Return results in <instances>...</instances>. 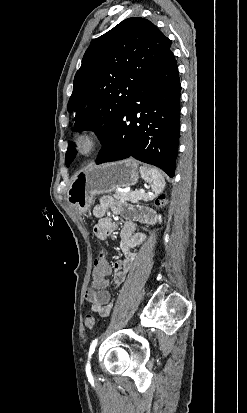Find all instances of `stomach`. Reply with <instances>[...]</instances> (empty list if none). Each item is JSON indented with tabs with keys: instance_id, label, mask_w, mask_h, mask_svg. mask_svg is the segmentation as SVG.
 Returning a JSON list of instances; mask_svg holds the SVG:
<instances>
[{
	"instance_id": "1",
	"label": "stomach",
	"mask_w": 247,
	"mask_h": 413,
	"mask_svg": "<svg viewBox=\"0 0 247 413\" xmlns=\"http://www.w3.org/2000/svg\"><path fill=\"white\" fill-rule=\"evenodd\" d=\"M138 166L133 158L89 164L72 178L67 190V202L81 213L88 211L95 194L112 192L119 186H131L138 180Z\"/></svg>"
}]
</instances>
